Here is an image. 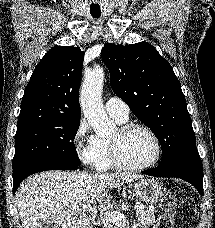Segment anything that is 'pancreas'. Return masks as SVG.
I'll return each instance as SVG.
<instances>
[{
    "label": "pancreas",
    "instance_id": "1",
    "mask_svg": "<svg viewBox=\"0 0 215 228\" xmlns=\"http://www.w3.org/2000/svg\"><path fill=\"white\" fill-rule=\"evenodd\" d=\"M143 206V204H141ZM136 220H138V228H148V226H152L155 224V216L152 210H148V208H144V210H137L136 212ZM120 222H116L115 226H109V228H126V226H119Z\"/></svg>",
    "mask_w": 215,
    "mask_h": 228
}]
</instances>
